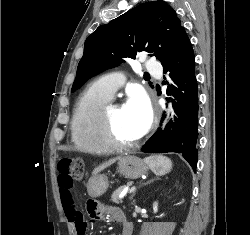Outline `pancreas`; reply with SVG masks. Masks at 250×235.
Returning a JSON list of instances; mask_svg holds the SVG:
<instances>
[{
    "instance_id": "obj_1",
    "label": "pancreas",
    "mask_w": 250,
    "mask_h": 235,
    "mask_svg": "<svg viewBox=\"0 0 250 235\" xmlns=\"http://www.w3.org/2000/svg\"><path fill=\"white\" fill-rule=\"evenodd\" d=\"M126 186H120L117 190H115L111 196V201L113 203H121L122 199L119 198L121 192L125 189Z\"/></svg>"
}]
</instances>
